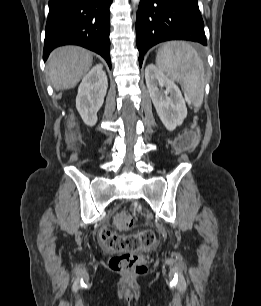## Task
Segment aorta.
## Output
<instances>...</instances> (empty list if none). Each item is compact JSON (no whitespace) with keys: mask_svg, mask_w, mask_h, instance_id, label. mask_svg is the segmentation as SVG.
I'll return each mask as SVG.
<instances>
[{"mask_svg":"<svg viewBox=\"0 0 261 306\" xmlns=\"http://www.w3.org/2000/svg\"><path fill=\"white\" fill-rule=\"evenodd\" d=\"M132 2H133L134 4H138V3L140 2V0H132Z\"/></svg>","mask_w":261,"mask_h":306,"instance_id":"obj_1","label":"aorta"}]
</instances>
